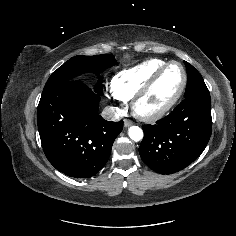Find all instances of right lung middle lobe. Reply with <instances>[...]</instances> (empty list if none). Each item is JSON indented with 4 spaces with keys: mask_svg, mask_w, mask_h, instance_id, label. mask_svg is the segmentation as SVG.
I'll return each instance as SVG.
<instances>
[{
    "mask_svg": "<svg viewBox=\"0 0 236 236\" xmlns=\"http://www.w3.org/2000/svg\"><path fill=\"white\" fill-rule=\"evenodd\" d=\"M117 62L114 55L75 56L65 62L52 73L45 84L44 90L57 86L74 78L84 72H93L97 75L105 69L115 65ZM95 91L102 95V79L95 87Z\"/></svg>",
    "mask_w": 236,
    "mask_h": 236,
    "instance_id": "1",
    "label": "right lung middle lobe"
}]
</instances>
